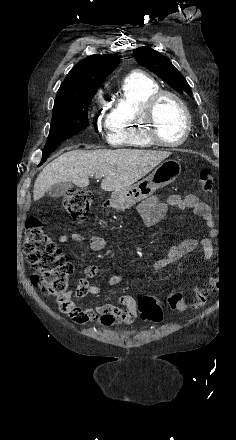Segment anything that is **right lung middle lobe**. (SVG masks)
I'll return each mask as SVG.
<instances>
[{
  "label": "right lung middle lobe",
  "instance_id": "dd1d6c3e",
  "mask_svg": "<svg viewBox=\"0 0 236 440\" xmlns=\"http://www.w3.org/2000/svg\"><path fill=\"white\" fill-rule=\"evenodd\" d=\"M94 94L54 104L50 133L44 148L59 146L88 126V106Z\"/></svg>",
  "mask_w": 236,
  "mask_h": 440
}]
</instances>
